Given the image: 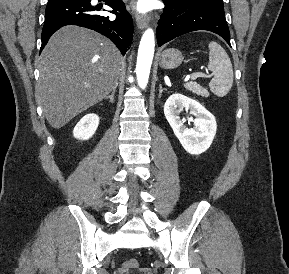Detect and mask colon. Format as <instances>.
Here are the masks:
<instances>
[{
  "mask_svg": "<svg viewBox=\"0 0 289 274\" xmlns=\"http://www.w3.org/2000/svg\"><path fill=\"white\" fill-rule=\"evenodd\" d=\"M136 268H138V261L136 259H129L123 264V269L125 271L134 270Z\"/></svg>",
  "mask_w": 289,
  "mask_h": 274,
  "instance_id": "colon-1",
  "label": "colon"
}]
</instances>
